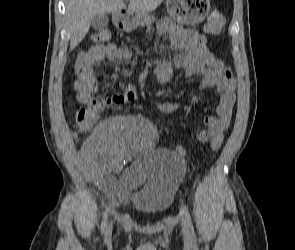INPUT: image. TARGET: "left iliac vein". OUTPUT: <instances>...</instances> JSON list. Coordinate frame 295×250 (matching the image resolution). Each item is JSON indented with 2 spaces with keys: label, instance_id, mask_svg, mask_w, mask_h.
I'll list each match as a JSON object with an SVG mask.
<instances>
[{
  "label": "left iliac vein",
  "instance_id": "left-iliac-vein-1",
  "mask_svg": "<svg viewBox=\"0 0 295 250\" xmlns=\"http://www.w3.org/2000/svg\"><path fill=\"white\" fill-rule=\"evenodd\" d=\"M182 232H183V235L186 239L189 240L191 238L190 233H189V227H188L187 222L184 218L182 219Z\"/></svg>",
  "mask_w": 295,
  "mask_h": 250
}]
</instances>
